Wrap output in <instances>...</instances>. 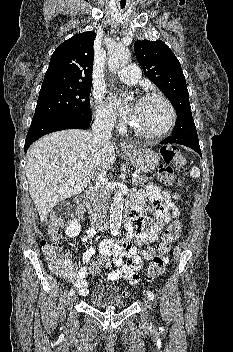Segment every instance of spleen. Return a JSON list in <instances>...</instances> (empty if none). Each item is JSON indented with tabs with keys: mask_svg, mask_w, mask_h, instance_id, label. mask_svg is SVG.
<instances>
[{
	"mask_svg": "<svg viewBox=\"0 0 233 352\" xmlns=\"http://www.w3.org/2000/svg\"><path fill=\"white\" fill-rule=\"evenodd\" d=\"M190 175L193 178H198L200 177V170L198 167L194 166L192 167L191 171H190Z\"/></svg>",
	"mask_w": 233,
	"mask_h": 352,
	"instance_id": "3e777b00",
	"label": "spleen"
}]
</instances>
